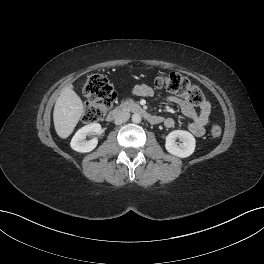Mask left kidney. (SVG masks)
<instances>
[{
  "mask_svg": "<svg viewBox=\"0 0 264 264\" xmlns=\"http://www.w3.org/2000/svg\"><path fill=\"white\" fill-rule=\"evenodd\" d=\"M177 138L182 141L179 145L176 143ZM195 144V138L190 132L175 130L167 135L165 148L174 156L186 158L194 152L196 146Z\"/></svg>",
  "mask_w": 264,
  "mask_h": 264,
  "instance_id": "5707ae66",
  "label": "left kidney"
}]
</instances>
